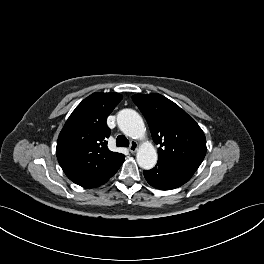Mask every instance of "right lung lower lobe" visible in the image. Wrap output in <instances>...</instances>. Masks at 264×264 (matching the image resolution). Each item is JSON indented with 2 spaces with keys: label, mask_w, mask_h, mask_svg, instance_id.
<instances>
[{
  "label": "right lung lower lobe",
  "mask_w": 264,
  "mask_h": 264,
  "mask_svg": "<svg viewBox=\"0 0 264 264\" xmlns=\"http://www.w3.org/2000/svg\"><path fill=\"white\" fill-rule=\"evenodd\" d=\"M125 156L121 157L119 160H117L115 163H113L110 167L102 171L100 174L78 184L85 188H94L99 187L106 183L120 168V166L124 162Z\"/></svg>",
  "instance_id": "right-lung-lower-lobe-1"
}]
</instances>
